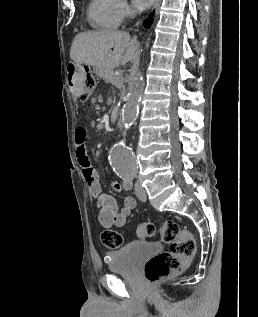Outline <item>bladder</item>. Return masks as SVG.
Instances as JSON below:
<instances>
[{
	"label": "bladder",
	"mask_w": 258,
	"mask_h": 317,
	"mask_svg": "<svg viewBox=\"0 0 258 317\" xmlns=\"http://www.w3.org/2000/svg\"><path fill=\"white\" fill-rule=\"evenodd\" d=\"M162 252V245L156 242L133 241L124 247L108 253V267L111 271H134L144 260Z\"/></svg>",
	"instance_id": "31cf9c89"
}]
</instances>
